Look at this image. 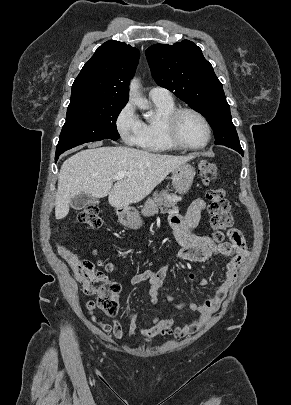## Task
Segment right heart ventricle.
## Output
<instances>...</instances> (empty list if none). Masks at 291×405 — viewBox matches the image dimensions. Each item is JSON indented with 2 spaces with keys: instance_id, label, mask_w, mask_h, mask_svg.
<instances>
[{
  "instance_id": "e07e8e85",
  "label": "right heart ventricle",
  "mask_w": 291,
  "mask_h": 405,
  "mask_svg": "<svg viewBox=\"0 0 291 405\" xmlns=\"http://www.w3.org/2000/svg\"><path fill=\"white\" fill-rule=\"evenodd\" d=\"M156 117L143 122V131L138 146L149 152H171L179 148L174 146L167 137L165 121L170 113L175 109L173 100L161 101L153 100Z\"/></svg>"
}]
</instances>
